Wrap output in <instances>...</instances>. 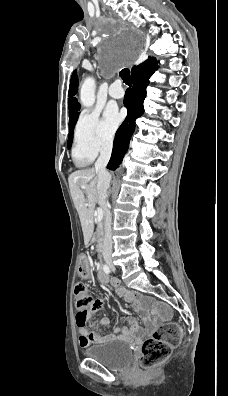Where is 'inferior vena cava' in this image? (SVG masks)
<instances>
[{"label":"inferior vena cava","instance_id":"1","mask_svg":"<svg viewBox=\"0 0 228 396\" xmlns=\"http://www.w3.org/2000/svg\"><path fill=\"white\" fill-rule=\"evenodd\" d=\"M113 143L112 141H106L103 143L100 151V156L95 162V168L98 172V183L97 190L100 195L103 209H104V240H103V254H112V218L111 213L106 205V199L108 198V188L110 187L111 176L106 170V166L109 162Z\"/></svg>","mask_w":228,"mask_h":396}]
</instances>
